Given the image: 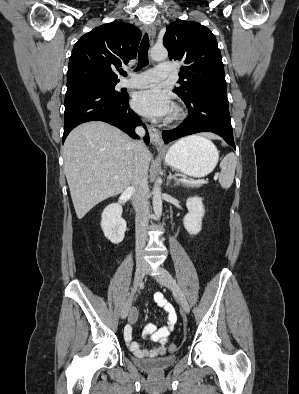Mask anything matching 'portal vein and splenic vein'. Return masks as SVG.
<instances>
[{"label":"portal vein and splenic vein","mask_w":299,"mask_h":394,"mask_svg":"<svg viewBox=\"0 0 299 394\" xmlns=\"http://www.w3.org/2000/svg\"><path fill=\"white\" fill-rule=\"evenodd\" d=\"M114 178L117 179L118 177L115 176ZM214 178L217 179L218 176L216 175ZM178 181L186 183V184H203V183H206L205 179H178Z\"/></svg>","instance_id":"18ae733b"}]
</instances>
